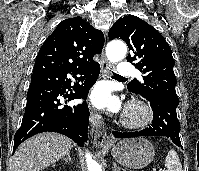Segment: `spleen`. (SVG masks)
<instances>
[{
  "label": "spleen",
  "instance_id": "1",
  "mask_svg": "<svg viewBox=\"0 0 199 171\" xmlns=\"http://www.w3.org/2000/svg\"><path fill=\"white\" fill-rule=\"evenodd\" d=\"M165 166L167 171H183L179 156L175 150H170L165 159Z\"/></svg>",
  "mask_w": 199,
  "mask_h": 171
}]
</instances>
